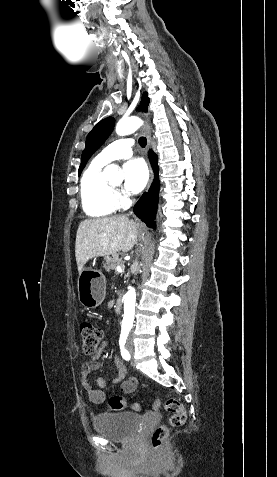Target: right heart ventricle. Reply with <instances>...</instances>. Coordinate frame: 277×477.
<instances>
[{
    "instance_id": "e07e8e85",
    "label": "right heart ventricle",
    "mask_w": 277,
    "mask_h": 477,
    "mask_svg": "<svg viewBox=\"0 0 277 477\" xmlns=\"http://www.w3.org/2000/svg\"><path fill=\"white\" fill-rule=\"evenodd\" d=\"M105 165L106 163L95 158L81 177V205L83 211L89 217H106L113 214L117 209L115 194L109 190L103 173Z\"/></svg>"
}]
</instances>
